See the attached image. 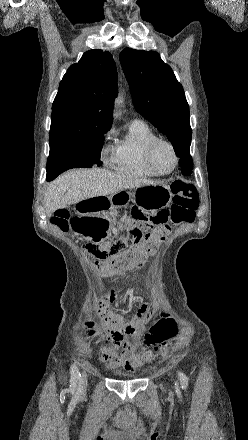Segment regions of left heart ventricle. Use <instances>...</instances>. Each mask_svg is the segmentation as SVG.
Returning <instances> with one entry per match:
<instances>
[{
    "instance_id": "1",
    "label": "left heart ventricle",
    "mask_w": 248,
    "mask_h": 440,
    "mask_svg": "<svg viewBox=\"0 0 248 440\" xmlns=\"http://www.w3.org/2000/svg\"><path fill=\"white\" fill-rule=\"evenodd\" d=\"M154 163L161 171L170 170L174 164V157L171 150L165 145L158 146L154 153Z\"/></svg>"
}]
</instances>
